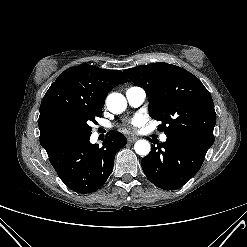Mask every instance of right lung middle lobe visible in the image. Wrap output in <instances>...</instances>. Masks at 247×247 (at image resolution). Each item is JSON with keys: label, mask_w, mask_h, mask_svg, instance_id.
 Instances as JSON below:
<instances>
[{"label": "right lung middle lobe", "mask_w": 247, "mask_h": 247, "mask_svg": "<svg viewBox=\"0 0 247 247\" xmlns=\"http://www.w3.org/2000/svg\"><path fill=\"white\" fill-rule=\"evenodd\" d=\"M102 111H83L76 115L59 117L51 125V140L59 145L63 142L91 135V122L101 117Z\"/></svg>", "instance_id": "obj_1"}]
</instances>
